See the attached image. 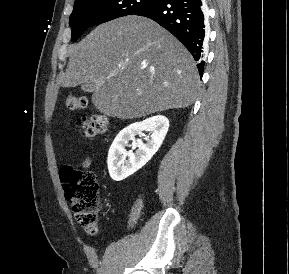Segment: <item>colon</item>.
<instances>
[{"label": "colon", "mask_w": 289, "mask_h": 274, "mask_svg": "<svg viewBox=\"0 0 289 274\" xmlns=\"http://www.w3.org/2000/svg\"><path fill=\"white\" fill-rule=\"evenodd\" d=\"M69 110H81L87 107L88 101L83 96L70 95L65 100ZM81 130L86 138H94L109 130L108 118L103 114H95L83 119ZM65 197L71 204L73 213L79 224L89 234H96L98 229L99 184L95 174L88 170L75 169L67 165L60 173Z\"/></svg>", "instance_id": "obj_1"}]
</instances>
